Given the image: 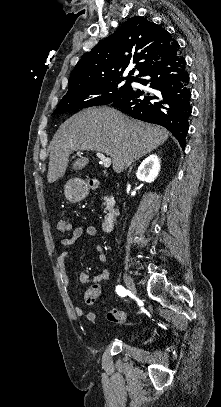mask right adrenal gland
Wrapping results in <instances>:
<instances>
[{
    "mask_svg": "<svg viewBox=\"0 0 221 407\" xmlns=\"http://www.w3.org/2000/svg\"><path fill=\"white\" fill-rule=\"evenodd\" d=\"M138 161V160H137ZM135 165V163H133V165L129 168V172L132 170L133 166Z\"/></svg>",
    "mask_w": 221,
    "mask_h": 407,
    "instance_id": "obj_1",
    "label": "right adrenal gland"
}]
</instances>
